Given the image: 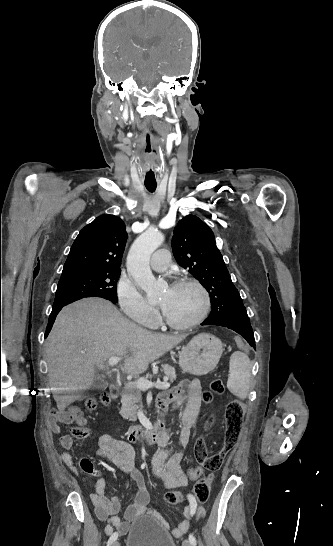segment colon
Returning <instances> with one entry per match:
<instances>
[{
  "label": "colon",
  "mask_w": 333,
  "mask_h": 546,
  "mask_svg": "<svg viewBox=\"0 0 333 546\" xmlns=\"http://www.w3.org/2000/svg\"><path fill=\"white\" fill-rule=\"evenodd\" d=\"M223 392V382L219 379H215L210 383V390L202 393L201 399L204 403H209L212 401L214 394L218 395ZM100 401L102 404H108L111 401L110 394L108 392H103L100 396ZM97 404L95 398H88L85 401V408L94 410L97 407ZM71 413L78 414V410L73 408ZM244 414V406L240 401L233 400L228 403L225 410L224 441L222 447L218 451L209 453L204 437H199L197 439L194 447V454L200 466L188 470V475L198 476L192 490V496L196 502L204 503L208 499L210 486L204 477L205 471L215 472L222 467L227 455L234 449L238 442L243 427ZM59 422L60 419H58L54 425L55 430H58ZM212 423L213 418L210 417L206 421V427L211 426ZM72 434L76 438L83 439L89 436L90 430L84 425H79L72 429ZM164 499L169 505H176L184 501V496L178 492H168L165 494Z\"/></svg>",
  "instance_id": "colon-1"
}]
</instances>
